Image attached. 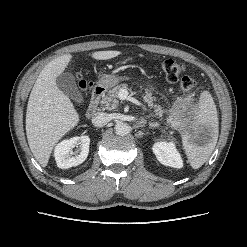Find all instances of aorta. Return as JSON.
Masks as SVG:
<instances>
[{"instance_id":"aorta-1","label":"aorta","mask_w":247,"mask_h":247,"mask_svg":"<svg viewBox=\"0 0 247 247\" xmlns=\"http://www.w3.org/2000/svg\"><path fill=\"white\" fill-rule=\"evenodd\" d=\"M114 129L115 133L120 136H125L130 132V127L124 122H117Z\"/></svg>"}]
</instances>
